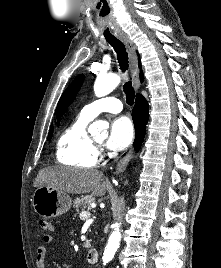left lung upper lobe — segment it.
I'll return each instance as SVG.
<instances>
[{"label":"left lung upper lobe","instance_id":"obj_1","mask_svg":"<svg viewBox=\"0 0 221 268\" xmlns=\"http://www.w3.org/2000/svg\"><path fill=\"white\" fill-rule=\"evenodd\" d=\"M84 80V75H79L64 91L62 94L57 108H56V116L58 117V122L60 121V117L67 110L68 106L73 102L75 96L77 95L78 90L80 89Z\"/></svg>","mask_w":221,"mask_h":268}]
</instances>
